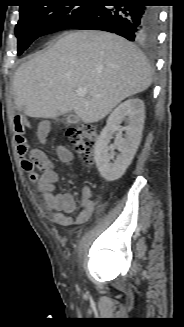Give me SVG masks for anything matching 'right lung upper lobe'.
<instances>
[{
	"instance_id": "right-lung-upper-lobe-1",
	"label": "right lung upper lobe",
	"mask_w": 184,
	"mask_h": 327,
	"mask_svg": "<svg viewBox=\"0 0 184 327\" xmlns=\"http://www.w3.org/2000/svg\"><path fill=\"white\" fill-rule=\"evenodd\" d=\"M41 1H43V0H21V3H23V4L20 6V10H22L23 8H25L27 6H30L32 4H35V3H38Z\"/></svg>"
}]
</instances>
